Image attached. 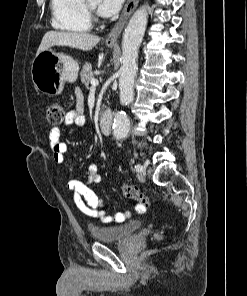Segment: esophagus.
<instances>
[{"instance_id": "obj_1", "label": "esophagus", "mask_w": 247, "mask_h": 296, "mask_svg": "<svg viewBox=\"0 0 247 296\" xmlns=\"http://www.w3.org/2000/svg\"><path fill=\"white\" fill-rule=\"evenodd\" d=\"M139 0H127L125 7L121 13V16L115 26L112 28L110 33L106 36L105 42L106 44H114L116 43L118 37L120 36L128 18L133 13L135 8L138 5Z\"/></svg>"}]
</instances>
